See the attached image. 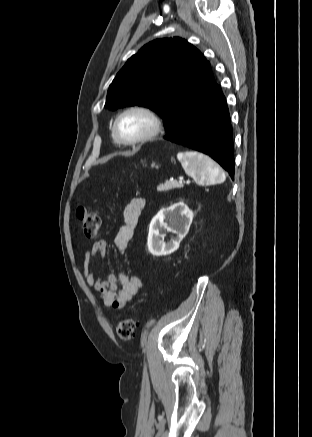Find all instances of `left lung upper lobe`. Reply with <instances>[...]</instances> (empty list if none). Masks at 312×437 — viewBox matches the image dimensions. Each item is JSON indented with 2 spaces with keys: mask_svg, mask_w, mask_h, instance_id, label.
Wrapping results in <instances>:
<instances>
[{
  "mask_svg": "<svg viewBox=\"0 0 312 437\" xmlns=\"http://www.w3.org/2000/svg\"><path fill=\"white\" fill-rule=\"evenodd\" d=\"M216 84L210 63L178 37L154 40L127 60L109 86L105 107L144 106L164 118L171 135Z\"/></svg>",
  "mask_w": 312,
  "mask_h": 437,
  "instance_id": "obj_1",
  "label": "left lung upper lobe"
}]
</instances>
